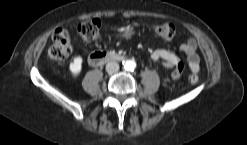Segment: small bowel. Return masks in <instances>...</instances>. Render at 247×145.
Returning a JSON list of instances; mask_svg holds the SVG:
<instances>
[{"mask_svg":"<svg viewBox=\"0 0 247 145\" xmlns=\"http://www.w3.org/2000/svg\"><path fill=\"white\" fill-rule=\"evenodd\" d=\"M196 50L197 43L194 39H189L179 47V52L186 56L188 67L194 74H196L200 68V57ZM151 59L154 61H163L167 68H172L180 62V58L177 54L165 49L154 50L151 53Z\"/></svg>","mask_w":247,"mask_h":145,"instance_id":"c3829d8e","label":"small bowel"}]
</instances>
